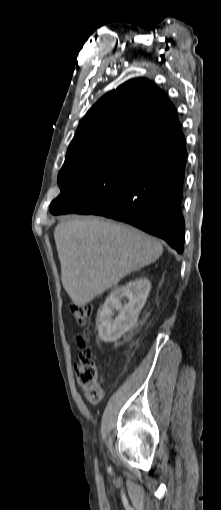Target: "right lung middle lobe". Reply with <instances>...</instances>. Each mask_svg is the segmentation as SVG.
I'll list each match as a JSON object with an SVG mask.
<instances>
[{"label":"right lung middle lobe","instance_id":"1","mask_svg":"<svg viewBox=\"0 0 221 510\" xmlns=\"http://www.w3.org/2000/svg\"><path fill=\"white\" fill-rule=\"evenodd\" d=\"M149 152L127 146L65 161L58 175L60 195L50 212L66 214L109 203L126 189Z\"/></svg>","mask_w":221,"mask_h":510}]
</instances>
